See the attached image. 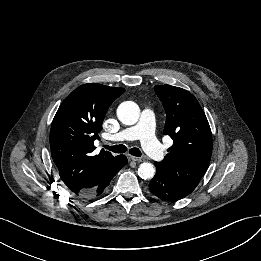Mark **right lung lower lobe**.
<instances>
[{
  "mask_svg": "<svg viewBox=\"0 0 261 261\" xmlns=\"http://www.w3.org/2000/svg\"><path fill=\"white\" fill-rule=\"evenodd\" d=\"M127 163V158L124 155L117 156L115 160L111 163L108 169L105 171L100 182L89 190L87 193L81 196L84 199H91L103 194L107 186L110 184L112 178L119 172V170L124 167Z\"/></svg>",
  "mask_w": 261,
  "mask_h": 261,
  "instance_id": "right-lung-lower-lobe-1",
  "label": "right lung lower lobe"
}]
</instances>
